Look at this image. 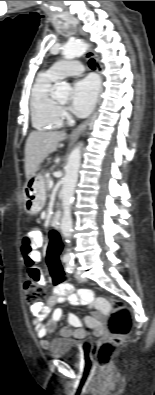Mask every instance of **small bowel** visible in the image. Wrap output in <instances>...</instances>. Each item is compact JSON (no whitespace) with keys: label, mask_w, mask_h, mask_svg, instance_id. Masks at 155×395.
Returning <instances> with one entry per match:
<instances>
[{"label":"small bowel","mask_w":155,"mask_h":395,"mask_svg":"<svg viewBox=\"0 0 155 395\" xmlns=\"http://www.w3.org/2000/svg\"><path fill=\"white\" fill-rule=\"evenodd\" d=\"M41 242V234L34 231L23 238L21 242V252L29 276L35 278L41 285L45 286L46 279L37 264L41 258V254L37 250ZM75 288V283H66L65 288H53V292L46 304L39 302L30 306V312L33 315L32 324L35 334L39 338L40 345L43 349H48L51 346L47 336L54 331L57 323L62 317L61 309L55 307L65 299H68L70 303L74 305L86 304L94 306L95 311H100L101 315H111L113 304H111L110 300H107L106 296H93L90 290H81L79 293H76ZM50 313V319L44 322ZM84 322L88 327L94 330L96 335L103 332V324L98 316H88L84 319ZM69 323L74 329L71 327H63L60 332L62 337L83 338L85 336V331L77 316H69Z\"/></svg>","instance_id":"obj_1"}]
</instances>
